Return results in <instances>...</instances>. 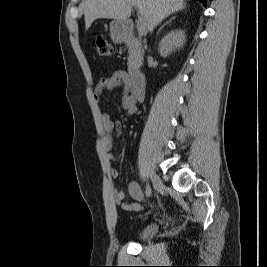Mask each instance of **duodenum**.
I'll use <instances>...</instances> for the list:
<instances>
[{
  "label": "duodenum",
  "instance_id": "duodenum-1",
  "mask_svg": "<svg viewBox=\"0 0 267 267\" xmlns=\"http://www.w3.org/2000/svg\"><path fill=\"white\" fill-rule=\"evenodd\" d=\"M126 33L129 34L133 28V23L128 21L126 23ZM146 78L143 72L135 70L132 72L131 93L135 100H142L145 94Z\"/></svg>",
  "mask_w": 267,
  "mask_h": 267
}]
</instances>
